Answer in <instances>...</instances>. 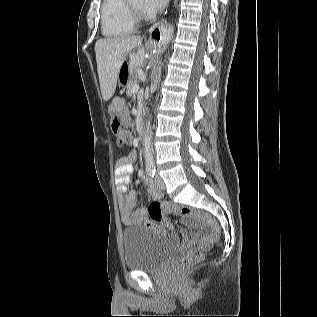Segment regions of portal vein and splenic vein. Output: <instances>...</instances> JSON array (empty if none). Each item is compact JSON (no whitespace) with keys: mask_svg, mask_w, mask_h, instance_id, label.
Instances as JSON below:
<instances>
[{"mask_svg":"<svg viewBox=\"0 0 317 317\" xmlns=\"http://www.w3.org/2000/svg\"><path fill=\"white\" fill-rule=\"evenodd\" d=\"M138 90H139V85H138V84H135V85L133 86V88H132V92H133V93H137Z\"/></svg>","mask_w":317,"mask_h":317,"instance_id":"obj_1","label":"portal vein and splenic vein"}]
</instances>
